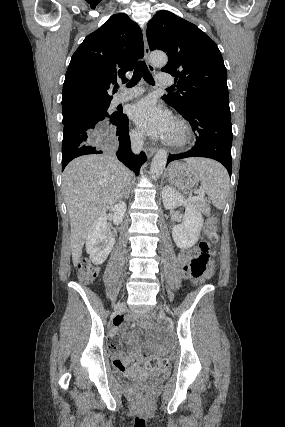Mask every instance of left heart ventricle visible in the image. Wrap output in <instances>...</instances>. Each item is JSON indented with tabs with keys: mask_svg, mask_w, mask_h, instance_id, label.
<instances>
[{
	"mask_svg": "<svg viewBox=\"0 0 285 427\" xmlns=\"http://www.w3.org/2000/svg\"><path fill=\"white\" fill-rule=\"evenodd\" d=\"M179 133L178 128L174 125L170 136H177Z\"/></svg>",
	"mask_w": 285,
	"mask_h": 427,
	"instance_id": "left-heart-ventricle-1",
	"label": "left heart ventricle"
}]
</instances>
